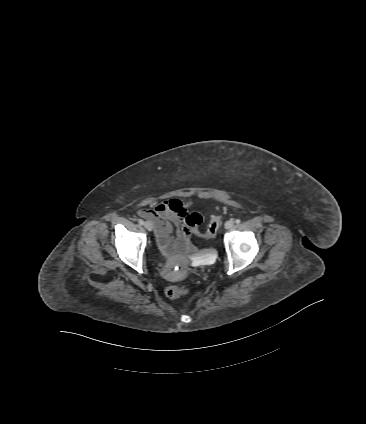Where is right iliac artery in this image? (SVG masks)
Returning <instances> with one entry per match:
<instances>
[{
  "instance_id": "1",
  "label": "right iliac artery",
  "mask_w": 366,
  "mask_h": 424,
  "mask_svg": "<svg viewBox=\"0 0 366 424\" xmlns=\"http://www.w3.org/2000/svg\"><path fill=\"white\" fill-rule=\"evenodd\" d=\"M140 225H144V221L142 219L139 220Z\"/></svg>"
}]
</instances>
